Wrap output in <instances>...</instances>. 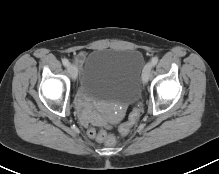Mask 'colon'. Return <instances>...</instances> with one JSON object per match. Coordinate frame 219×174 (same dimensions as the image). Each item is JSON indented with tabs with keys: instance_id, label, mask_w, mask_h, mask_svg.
<instances>
[{
	"instance_id": "5ec220e1",
	"label": "colon",
	"mask_w": 219,
	"mask_h": 174,
	"mask_svg": "<svg viewBox=\"0 0 219 174\" xmlns=\"http://www.w3.org/2000/svg\"><path fill=\"white\" fill-rule=\"evenodd\" d=\"M140 117V108L134 107L127 122L123 123L120 128L119 132L122 136H127L132 126L137 122ZM87 134L91 138H95L100 142H104L109 146H113L115 144V137L112 134L107 133L105 130H95L94 128H89L87 130Z\"/></svg>"
}]
</instances>
